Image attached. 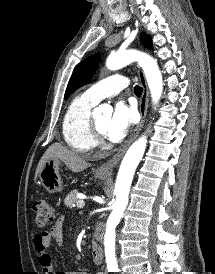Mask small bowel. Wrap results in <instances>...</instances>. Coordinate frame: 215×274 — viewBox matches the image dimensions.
<instances>
[{"instance_id":"small-bowel-1","label":"small bowel","mask_w":215,"mask_h":274,"mask_svg":"<svg viewBox=\"0 0 215 274\" xmlns=\"http://www.w3.org/2000/svg\"><path fill=\"white\" fill-rule=\"evenodd\" d=\"M52 240H54L58 246H62L63 244L62 218H59L50 230L37 233L34 237V249L44 274H85L82 272H54L51 257L46 250ZM96 274L103 273L97 272Z\"/></svg>"}]
</instances>
